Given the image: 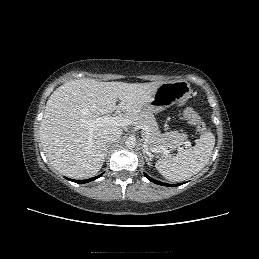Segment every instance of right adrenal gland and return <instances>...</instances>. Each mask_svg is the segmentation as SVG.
Here are the masks:
<instances>
[{"label": "right adrenal gland", "instance_id": "right-adrenal-gland-1", "mask_svg": "<svg viewBox=\"0 0 259 259\" xmlns=\"http://www.w3.org/2000/svg\"><path fill=\"white\" fill-rule=\"evenodd\" d=\"M110 145H111V143L107 144V147H106V153H105V157L107 156L108 149H109Z\"/></svg>", "mask_w": 259, "mask_h": 259}]
</instances>
